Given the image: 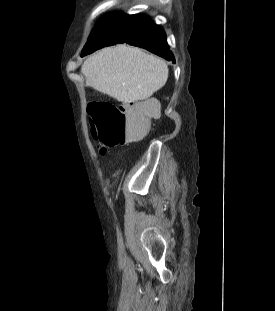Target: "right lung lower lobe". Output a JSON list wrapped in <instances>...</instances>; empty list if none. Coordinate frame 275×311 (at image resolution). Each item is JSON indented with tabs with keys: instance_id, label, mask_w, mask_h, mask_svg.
<instances>
[{
	"instance_id": "right-lung-lower-lobe-1",
	"label": "right lung lower lobe",
	"mask_w": 275,
	"mask_h": 311,
	"mask_svg": "<svg viewBox=\"0 0 275 311\" xmlns=\"http://www.w3.org/2000/svg\"><path fill=\"white\" fill-rule=\"evenodd\" d=\"M144 48L168 61L175 63V58L167 44L165 31L150 19L139 24L122 42Z\"/></svg>"
}]
</instances>
